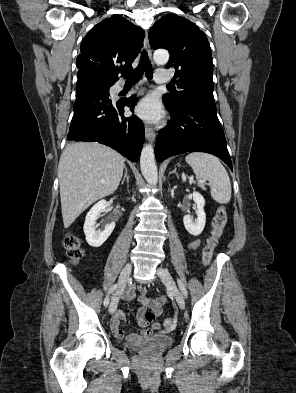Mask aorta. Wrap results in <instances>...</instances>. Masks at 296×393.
Here are the masks:
<instances>
[{
	"label": "aorta",
	"mask_w": 296,
	"mask_h": 393,
	"mask_svg": "<svg viewBox=\"0 0 296 393\" xmlns=\"http://www.w3.org/2000/svg\"><path fill=\"white\" fill-rule=\"evenodd\" d=\"M153 59L156 63H166L169 59V53L166 50H157L153 54ZM140 167L145 180L151 185H156L158 182V172L154 149L151 144L145 145L141 151Z\"/></svg>",
	"instance_id": "1"
}]
</instances>
